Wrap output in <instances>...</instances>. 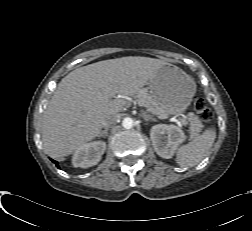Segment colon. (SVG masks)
<instances>
[{
	"label": "colon",
	"instance_id": "1",
	"mask_svg": "<svg viewBox=\"0 0 252 231\" xmlns=\"http://www.w3.org/2000/svg\"><path fill=\"white\" fill-rule=\"evenodd\" d=\"M194 110L198 118L204 122L209 123L213 118L212 110L206 105L202 98H195L193 101Z\"/></svg>",
	"mask_w": 252,
	"mask_h": 231
}]
</instances>
